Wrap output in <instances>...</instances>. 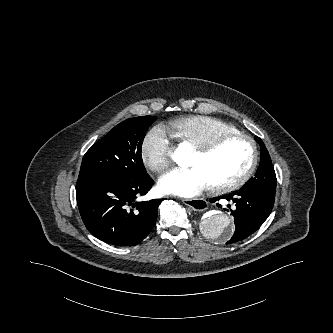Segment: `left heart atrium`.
I'll use <instances>...</instances> for the list:
<instances>
[{
    "instance_id": "obj_1",
    "label": "left heart atrium",
    "mask_w": 333,
    "mask_h": 333,
    "mask_svg": "<svg viewBox=\"0 0 333 333\" xmlns=\"http://www.w3.org/2000/svg\"><path fill=\"white\" fill-rule=\"evenodd\" d=\"M210 186L204 172L195 166L170 170L159 180L162 192L187 198L199 195Z\"/></svg>"
}]
</instances>
